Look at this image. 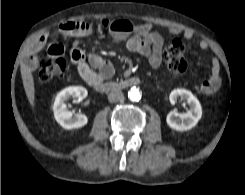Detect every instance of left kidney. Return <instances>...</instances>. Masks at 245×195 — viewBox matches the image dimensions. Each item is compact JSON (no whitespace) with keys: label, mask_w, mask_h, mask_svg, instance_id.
I'll return each mask as SVG.
<instances>
[{"label":"left kidney","mask_w":245,"mask_h":195,"mask_svg":"<svg viewBox=\"0 0 245 195\" xmlns=\"http://www.w3.org/2000/svg\"><path fill=\"white\" fill-rule=\"evenodd\" d=\"M178 98L185 101L190 110L182 114L171 111L167 115L166 122L171 129L186 131L196 126L202 116V107L199 100L189 90L177 88L171 91L169 95L171 104L174 105Z\"/></svg>","instance_id":"5707ae66"}]
</instances>
